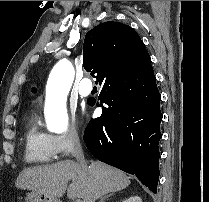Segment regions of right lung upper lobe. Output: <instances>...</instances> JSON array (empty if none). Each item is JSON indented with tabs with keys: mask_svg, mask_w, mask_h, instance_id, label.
Wrapping results in <instances>:
<instances>
[{
	"mask_svg": "<svg viewBox=\"0 0 209 202\" xmlns=\"http://www.w3.org/2000/svg\"><path fill=\"white\" fill-rule=\"evenodd\" d=\"M151 59L128 25L107 21L91 29L83 45V66L103 87L120 88L146 75Z\"/></svg>",
	"mask_w": 209,
	"mask_h": 202,
	"instance_id": "cb5924a9",
	"label": "right lung upper lobe"
}]
</instances>
